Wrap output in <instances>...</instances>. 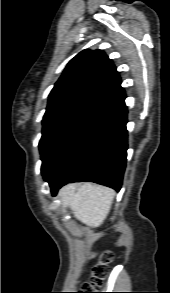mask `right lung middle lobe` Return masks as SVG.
<instances>
[{
    "label": "right lung middle lobe",
    "mask_w": 170,
    "mask_h": 293,
    "mask_svg": "<svg viewBox=\"0 0 170 293\" xmlns=\"http://www.w3.org/2000/svg\"><path fill=\"white\" fill-rule=\"evenodd\" d=\"M109 111L105 107L82 105L67 108L43 120L39 148L45 180L58 172Z\"/></svg>",
    "instance_id": "obj_1"
}]
</instances>
